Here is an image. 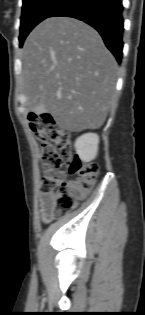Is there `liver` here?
<instances>
[{"instance_id": "liver-1", "label": "liver", "mask_w": 145, "mask_h": 315, "mask_svg": "<svg viewBox=\"0 0 145 315\" xmlns=\"http://www.w3.org/2000/svg\"><path fill=\"white\" fill-rule=\"evenodd\" d=\"M26 106L70 132L100 128L115 95L118 65L99 33L69 17L44 20L22 56Z\"/></svg>"}]
</instances>
